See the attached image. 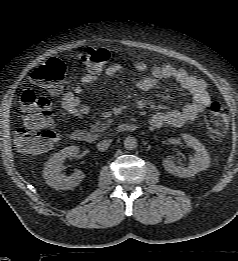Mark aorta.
<instances>
[{"instance_id": "aorta-1", "label": "aorta", "mask_w": 238, "mask_h": 261, "mask_svg": "<svg viewBox=\"0 0 238 261\" xmlns=\"http://www.w3.org/2000/svg\"><path fill=\"white\" fill-rule=\"evenodd\" d=\"M124 147L127 150H134L137 147V140L133 136H128L124 140Z\"/></svg>"}]
</instances>
